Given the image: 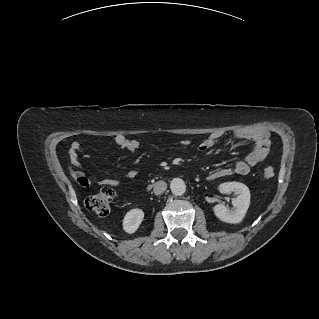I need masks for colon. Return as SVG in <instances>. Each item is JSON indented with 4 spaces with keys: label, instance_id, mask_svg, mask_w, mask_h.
Masks as SVG:
<instances>
[{
    "label": "colon",
    "instance_id": "colon-1",
    "mask_svg": "<svg viewBox=\"0 0 319 319\" xmlns=\"http://www.w3.org/2000/svg\"><path fill=\"white\" fill-rule=\"evenodd\" d=\"M274 175L275 171L272 167L268 166L263 169V177L265 179H271ZM113 196L112 189L103 188L85 200V207L99 216H105L110 211Z\"/></svg>",
    "mask_w": 319,
    "mask_h": 319
}]
</instances>
